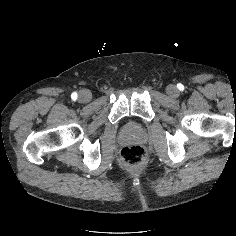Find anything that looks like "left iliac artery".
I'll return each mask as SVG.
<instances>
[{
  "label": "left iliac artery",
  "mask_w": 236,
  "mask_h": 236,
  "mask_svg": "<svg viewBox=\"0 0 236 236\" xmlns=\"http://www.w3.org/2000/svg\"><path fill=\"white\" fill-rule=\"evenodd\" d=\"M182 88H183V85H182V84H180V85H179V89L181 90Z\"/></svg>",
  "instance_id": "1"
}]
</instances>
